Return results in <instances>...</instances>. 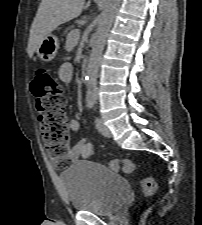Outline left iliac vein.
Instances as JSON below:
<instances>
[{"mask_svg": "<svg viewBox=\"0 0 202 225\" xmlns=\"http://www.w3.org/2000/svg\"><path fill=\"white\" fill-rule=\"evenodd\" d=\"M96 128L97 130L105 137H111L112 134L107 126H105L104 122L100 118H96Z\"/></svg>", "mask_w": 202, "mask_h": 225, "instance_id": "1", "label": "left iliac vein"}]
</instances>
